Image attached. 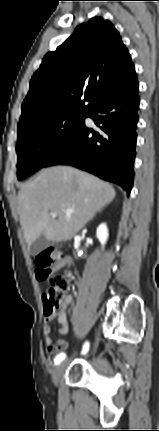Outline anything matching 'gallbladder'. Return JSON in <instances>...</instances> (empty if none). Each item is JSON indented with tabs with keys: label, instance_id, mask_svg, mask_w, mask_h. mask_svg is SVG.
Masks as SVG:
<instances>
[{
	"label": "gallbladder",
	"instance_id": "1",
	"mask_svg": "<svg viewBox=\"0 0 159 431\" xmlns=\"http://www.w3.org/2000/svg\"><path fill=\"white\" fill-rule=\"evenodd\" d=\"M50 244V241L44 236H39L30 246L32 255H37L44 251Z\"/></svg>",
	"mask_w": 159,
	"mask_h": 431
}]
</instances>
